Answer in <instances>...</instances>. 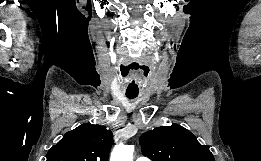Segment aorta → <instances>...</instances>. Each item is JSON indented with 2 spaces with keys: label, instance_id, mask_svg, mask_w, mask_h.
Instances as JSON below:
<instances>
[{
  "label": "aorta",
  "instance_id": "aorta-1",
  "mask_svg": "<svg viewBox=\"0 0 261 161\" xmlns=\"http://www.w3.org/2000/svg\"><path fill=\"white\" fill-rule=\"evenodd\" d=\"M133 145L119 144L114 147L110 161H133Z\"/></svg>",
  "mask_w": 261,
  "mask_h": 161
}]
</instances>
